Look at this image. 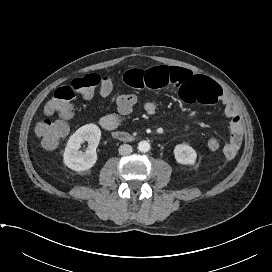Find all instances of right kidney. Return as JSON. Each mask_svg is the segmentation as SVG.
<instances>
[{
	"label": "right kidney",
	"mask_w": 272,
	"mask_h": 272,
	"mask_svg": "<svg viewBox=\"0 0 272 272\" xmlns=\"http://www.w3.org/2000/svg\"><path fill=\"white\" fill-rule=\"evenodd\" d=\"M101 138V130L95 124L80 127L68 140L64 151V164L74 171H85L92 168L97 161L96 148ZM87 141L86 152L79 150L81 144Z\"/></svg>",
	"instance_id": "1"
}]
</instances>
